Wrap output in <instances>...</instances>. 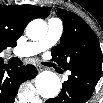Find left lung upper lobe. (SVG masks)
<instances>
[{"label":"left lung upper lobe","mask_w":103,"mask_h":103,"mask_svg":"<svg viewBox=\"0 0 103 103\" xmlns=\"http://www.w3.org/2000/svg\"><path fill=\"white\" fill-rule=\"evenodd\" d=\"M63 20L64 33L60 44L52 49L53 61L64 70L92 61L103 62L98 38L89 25L76 14L64 9L56 12Z\"/></svg>","instance_id":"5c2ea615"}]
</instances>
